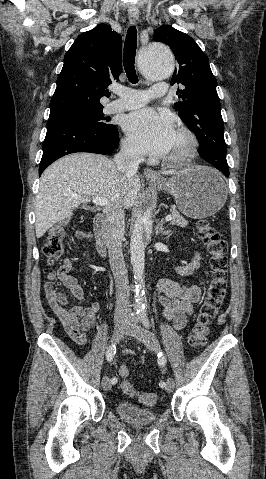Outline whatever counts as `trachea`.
<instances>
[{
	"label": "trachea",
	"mask_w": 266,
	"mask_h": 479,
	"mask_svg": "<svg viewBox=\"0 0 266 479\" xmlns=\"http://www.w3.org/2000/svg\"><path fill=\"white\" fill-rule=\"evenodd\" d=\"M137 48V30L135 26H132L127 31V36L124 44V69L128 80L132 84L138 82V77L135 70V55Z\"/></svg>",
	"instance_id": "3493384b"
}]
</instances>
